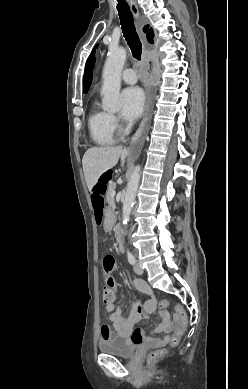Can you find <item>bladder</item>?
Here are the masks:
<instances>
[{
    "mask_svg": "<svg viewBox=\"0 0 248 389\" xmlns=\"http://www.w3.org/2000/svg\"><path fill=\"white\" fill-rule=\"evenodd\" d=\"M99 350L103 355L130 358L135 354L136 346L124 337L117 334H111L100 342Z\"/></svg>",
    "mask_w": 248,
    "mask_h": 389,
    "instance_id": "obj_1",
    "label": "bladder"
}]
</instances>
